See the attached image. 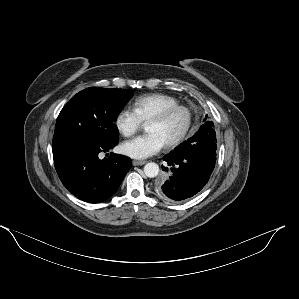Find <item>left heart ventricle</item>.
<instances>
[{"label": "left heart ventricle", "mask_w": 299, "mask_h": 299, "mask_svg": "<svg viewBox=\"0 0 299 299\" xmlns=\"http://www.w3.org/2000/svg\"><path fill=\"white\" fill-rule=\"evenodd\" d=\"M185 122L186 114L184 112H177L164 122H149L147 124V131L149 133H157L166 143L180 132Z\"/></svg>", "instance_id": "b2bd125f"}]
</instances>
